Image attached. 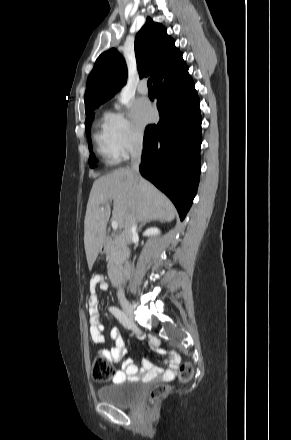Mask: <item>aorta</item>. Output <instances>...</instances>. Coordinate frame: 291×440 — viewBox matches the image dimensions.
I'll list each match as a JSON object with an SVG mask.
<instances>
[{
    "label": "aorta",
    "instance_id": "1",
    "mask_svg": "<svg viewBox=\"0 0 291 440\" xmlns=\"http://www.w3.org/2000/svg\"><path fill=\"white\" fill-rule=\"evenodd\" d=\"M115 109H116V110H120V106L117 105V104H115Z\"/></svg>",
    "mask_w": 291,
    "mask_h": 440
}]
</instances>
